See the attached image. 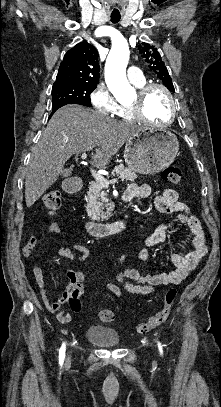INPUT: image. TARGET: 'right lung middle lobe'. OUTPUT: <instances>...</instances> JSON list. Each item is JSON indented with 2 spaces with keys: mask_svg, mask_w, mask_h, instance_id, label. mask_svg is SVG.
<instances>
[{
  "mask_svg": "<svg viewBox=\"0 0 221 407\" xmlns=\"http://www.w3.org/2000/svg\"><path fill=\"white\" fill-rule=\"evenodd\" d=\"M96 87V84L78 83L52 88V107L54 109L66 104L91 106L89 96Z\"/></svg>",
  "mask_w": 221,
  "mask_h": 407,
  "instance_id": "1",
  "label": "right lung middle lobe"
}]
</instances>
